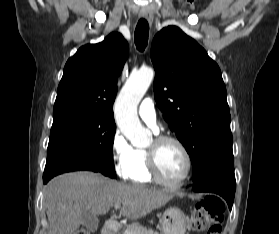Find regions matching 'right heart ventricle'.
<instances>
[{"instance_id": "right-heart-ventricle-1", "label": "right heart ventricle", "mask_w": 279, "mask_h": 234, "mask_svg": "<svg viewBox=\"0 0 279 234\" xmlns=\"http://www.w3.org/2000/svg\"><path fill=\"white\" fill-rule=\"evenodd\" d=\"M126 178L139 184H148L153 181L148 169L146 149H133L132 159L128 167Z\"/></svg>"}]
</instances>
